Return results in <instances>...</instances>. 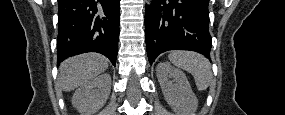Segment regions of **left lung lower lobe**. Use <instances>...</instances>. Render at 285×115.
Wrapping results in <instances>:
<instances>
[{
  "label": "left lung lower lobe",
  "instance_id": "0a47b994",
  "mask_svg": "<svg viewBox=\"0 0 285 115\" xmlns=\"http://www.w3.org/2000/svg\"><path fill=\"white\" fill-rule=\"evenodd\" d=\"M209 0H153L145 12L150 64L164 51H196L210 59Z\"/></svg>",
  "mask_w": 285,
  "mask_h": 115
}]
</instances>
